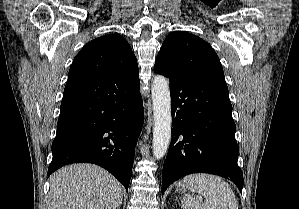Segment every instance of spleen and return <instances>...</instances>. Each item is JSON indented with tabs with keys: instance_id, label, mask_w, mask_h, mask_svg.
Returning <instances> with one entry per match:
<instances>
[{
	"instance_id": "3e777b00",
	"label": "spleen",
	"mask_w": 299,
	"mask_h": 209,
	"mask_svg": "<svg viewBox=\"0 0 299 209\" xmlns=\"http://www.w3.org/2000/svg\"><path fill=\"white\" fill-rule=\"evenodd\" d=\"M181 183L190 192L200 194V197L185 195L181 201L183 209H238L231 186L218 176L206 173L191 174Z\"/></svg>"
}]
</instances>
